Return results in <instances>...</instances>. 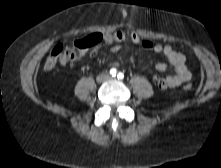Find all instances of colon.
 Masks as SVG:
<instances>
[{
    "label": "colon",
    "mask_w": 221,
    "mask_h": 168,
    "mask_svg": "<svg viewBox=\"0 0 221 168\" xmlns=\"http://www.w3.org/2000/svg\"><path fill=\"white\" fill-rule=\"evenodd\" d=\"M128 39V31L125 28L114 29L113 31L100 34H92L87 38L75 41L71 46L63 44L56 45L47 57L44 68L52 70L59 64H66L82 57L85 52L96 47L100 42L104 45H114L116 42H125ZM130 42L133 45H139L142 42V37L139 32H131L129 34ZM185 90H190L191 85L187 84Z\"/></svg>",
    "instance_id": "colon-1"
}]
</instances>
